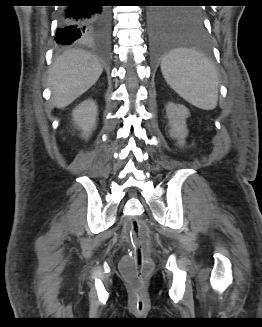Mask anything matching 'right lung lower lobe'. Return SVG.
I'll return each mask as SVG.
<instances>
[{
	"label": "right lung lower lobe",
	"mask_w": 262,
	"mask_h": 327,
	"mask_svg": "<svg viewBox=\"0 0 262 327\" xmlns=\"http://www.w3.org/2000/svg\"><path fill=\"white\" fill-rule=\"evenodd\" d=\"M79 3L63 6L55 40L59 45L84 43L106 49L110 39L111 16L108 9L94 0H67Z\"/></svg>",
	"instance_id": "98d812e1"
}]
</instances>
